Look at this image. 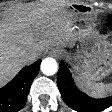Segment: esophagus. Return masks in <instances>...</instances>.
Segmentation results:
<instances>
[{"mask_svg":"<svg viewBox=\"0 0 112 112\" xmlns=\"http://www.w3.org/2000/svg\"><path fill=\"white\" fill-rule=\"evenodd\" d=\"M61 53L58 50H55V57H58Z\"/></svg>","mask_w":112,"mask_h":112,"instance_id":"esophagus-1","label":"esophagus"}]
</instances>
